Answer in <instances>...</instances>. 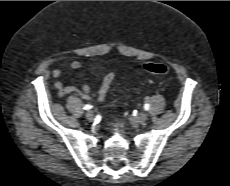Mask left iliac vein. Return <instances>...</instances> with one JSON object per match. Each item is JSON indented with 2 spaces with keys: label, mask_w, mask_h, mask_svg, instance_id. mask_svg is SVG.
Wrapping results in <instances>:
<instances>
[{
  "label": "left iliac vein",
  "mask_w": 230,
  "mask_h": 186,
  "mask_svg": "<svg viewBox=\"0 0 230 186\" xmlns=\"http://www.w3.org/2000/svg\"><path fill=\"white\" fill-rule=\"evenodd\" d=\"M135 120L137 123L143 124L147 120V114L142 112L136 116Z\"/></svg>",
  "instance_id": "4c4485c4"
}]
</instances>
